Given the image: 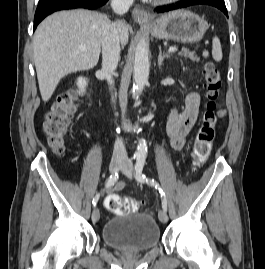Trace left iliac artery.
Instances as JSON below:
<instances>
[{"label":"left iliac artery","mask_w":265,"mask_h":269,"mask_svg":"<svg viewBox=\"0 0 265 269\" xmlns=\"http://www.w3.org/2000/svg\"><path fill=\"white\" fill-rule=\"evenodd\" d=\"M144 164H145V156H139L137 158V162L135 165V178L138 182L150 184L151 186L155 187V189L159 191L161 195V199H162V208L164 211H167V200H166L165 192L163 191L159 183H157L153 179L151 180V179L146 178V176L143 174L142 171H143Z\"/></svg>","instance_id":"left-iliac-artery-1"}]
</instances>
